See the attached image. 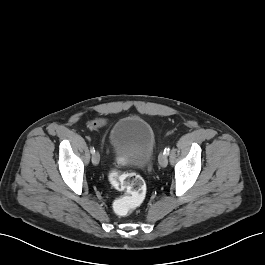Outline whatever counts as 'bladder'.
<instances>
[{
    "mask_svg": "<svg viewBox=\"0 0 265 265\" xmlns=\"http://www.w3.org/2000/svg\"><path fill=\"white\" fill-rule=\"evenodd\" d=\"M112 152L128 164L147 165L153 155L155 134L150 123L136 115L118 119L110 131Z\"/></svg>",
    "mask_w": 265,
    "mask_h": 265,
    "instance_id": "1",
    "label": "bladder"
}]
</instances>
